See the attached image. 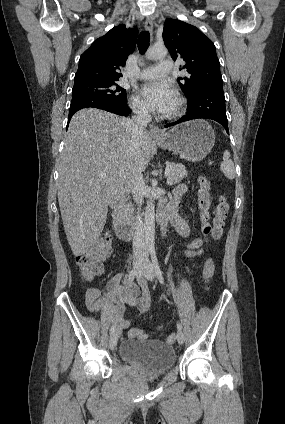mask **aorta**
<instances>
[{"mask_svg":"<svg viewBox=\"0 0 285 424\" xmlns=\"http://www.w3.org/2000/svg\"><path fill=\"white\" fill-rule=\"evenodd\" d=\"M167 54L168 50L165 46H153L146 51V58L148 60H157L166 57ZM152 183H156V180H153ZM143 230L145 244L147 247L152 248L155 237V204L153 192L145 208Z\"/></svg>","mask_w":285,"mask_h":424,"instance_id":"aorta-1","label":"aorta"}]
</instances>
